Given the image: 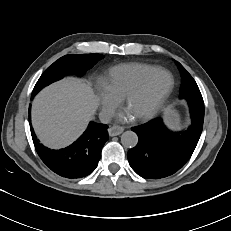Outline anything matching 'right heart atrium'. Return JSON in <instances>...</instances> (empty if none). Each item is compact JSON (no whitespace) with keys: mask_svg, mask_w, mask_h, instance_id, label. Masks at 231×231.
<instances>
[{"mask_svg":"<svg viewBox=\"0 0 231 231\" xmlns=\"http://www.w3.org/2000/svg\"><path fill=\"white\" fill-rule=\"evenodd\" d=\"M97 88L101 113L102 116L107 119L113 115L116 108L119 106L121 99L109 92L103 82L99 83Z\"/></svg>","mask_w":231,"mask_h":231,"instance_id":"right-heart-atrium-1","label":"right heart atrium"}]
</instances>
